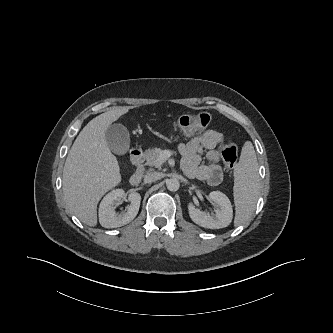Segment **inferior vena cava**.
<instances>
[{
    "instance_id": "obj_1",
    "label": "inferior vena cava",
    "mask_w": 333,
    "mask_h": 333,
    "mask_svg": "<svg viewBox=\"0 0 333 333\" xmlns=\"http://www.w3.org/2000/svg\"><path fill=\"white\" fill-rule=\"evenodd\" d=\"M162 178V174L159 172H148L145 176H144V181L146 183H151L154 181H157L159 179Z\"/></svg>"
}]
</instances>
